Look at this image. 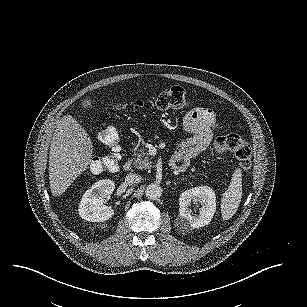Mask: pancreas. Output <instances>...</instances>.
<instances>
[{
  "label": "pancreas",
  "instance_id": "1",
  "mask_svg": "<svg viewBox=\"0 0 307 307\" xmlns=\"http://www.w3.org/2000/svg\"><path fill=\"white\" fill-rule=\"evenodd\" d=\"M135 158L130 159L132 161L134 168L138 170H149L152 168V162L150 161V155L148 152L140 148L138 149V152L135 153Z\"/></svg>",
  "mask_w": 307,
  "mask_h": 307
}]
</instances>
